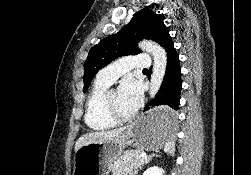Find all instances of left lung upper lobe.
I'll list each match as a JSON object with an SVG mask.
<instances>
[{
	"label": "left lung upper lobe",
	"instance_id": "1",
	"mask_svg": "<svg viewBox=\"0 0 251 175\" xmlns=\"http://www.w3.org/2000/svg\"><path fill=\"white\" fill-rule=\"evenodd\" d=\"M168 30L163 17L152 10L142 9L134 14L129 24L118 33L108 36L92 47L84 64L83 76L86 91L97 72L119 56L137 54V42L151 39L161 43Z\"/></svg>",
	"mask_w": 251,
	"mask_h": 175
}]
</instances>
